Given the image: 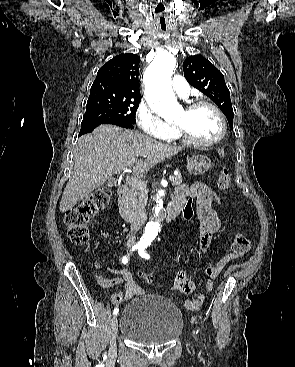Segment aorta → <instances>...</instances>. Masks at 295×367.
<instances>
[{
	"instance_id": "762f6f07",
	"label": "aorta",
	"mask_w": 295,
	"mask_h": 367,
	"mask_svg": "<svg viewBox=\"0 0 295 367\" xmlns=\"http://www.w3.org/2000/svg\"><path fill=\"white\" fill-rule=\"evenodd\" d=\"M176 65L175 57L162 52L149 65L145 72V88L150 108L163 118L175 116L181 107L177 103L171 87V76ZM154 212L156 219L147 223L142 240L152 242L161 229L159 217L163 208L162 200L157 195Z\"/></svg>"
}]
</instances>
